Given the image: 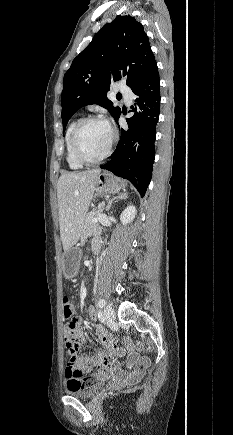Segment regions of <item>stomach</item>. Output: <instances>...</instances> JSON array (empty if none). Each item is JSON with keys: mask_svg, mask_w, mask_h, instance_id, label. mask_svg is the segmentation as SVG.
<instances>
[{"mask_svg": "<svg viewBox=\"0 0 233 435\" xmlns=\"http://www.w3.org/2000/svg\"><path fill=\"white\" fill-rule=\"evenodd\" d=\"M124 183H119L112 174L108 172L100 173L95 182L97 195L115 194L124 188ZM81 251L76 247L64 250L62 254V269L66 278H74L78 275Z\"/></svg>", "mask_w": 233, "mask_h": 435, "instance_id": "0dacf381", "label": "stomach"}]
</instances>
